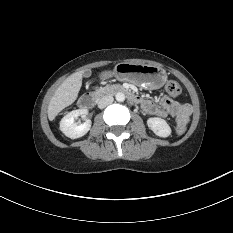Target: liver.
I'll use <instances>...</instances> for the list:
<instances>
[{"instance_id":"6515ba94","label":"liver","mask_w":233,"mask_h":233,"mask_svg":"<svg viewBox=\"0 0 233 233\" xmlns=\"http://www.w3.org/2000/svg\"><path fill=\"white\" fill-rule=\"evenodd\" d=\"M82 76V71L73 73L57 88L48 105L47 112L50 121H53L64 108L77 99L82 86Z\"/></svg>"}]
</instances>
